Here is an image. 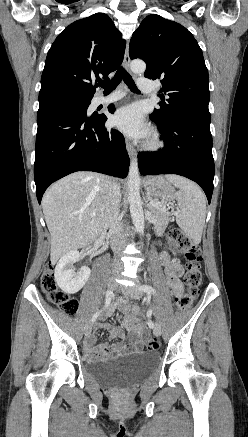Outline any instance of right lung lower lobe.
I'll return each mask as SVG.
<instances>
[{
    "instance_id": "1",
    "label": "right lung lower lobe",
    "mask_w": 248,
    "mask_h": 437,
    "mask_svg": "<svg viewBox=\"0 0 248 437\" xmlns=\"http://www.w3.org/2000/svg\"><path fill=\"white\" fill-rule=\"evenodd\" d=\"M108 109L115 111L113 105ZM106 120L104 114L87 117L66 103L39 105L34 164L39 204L50 184L76 171L127 176L124 137L118 130L106 129Z\"/></svg>"
}]
</instances>
